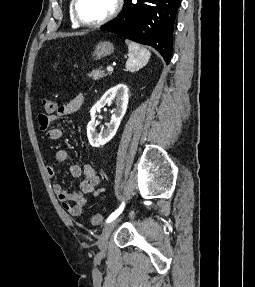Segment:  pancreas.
<instances>
[{
	"label": "pancreas",
	"instance_id": "obj_1",
	"mask_svg": "<svg viewBox=\"0 0 255 287\" xmlns=\"http://www.w3.org/2000/svg\"><path fill=\"white\" fill-rule=\"evenodd\" d=\"M87 76H89V78H93V80H100V78H104L107 74H104L101 70H93V72H90Z\"/></svg>",
	"mask_w": 255,
	"mask_h": 287
}]
</instances>
